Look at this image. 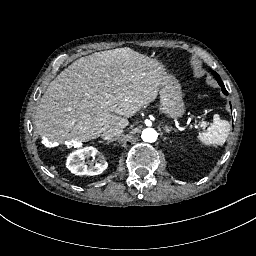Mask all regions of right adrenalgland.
I'll return each mask as SVG.
<instances>
[{
	"label": "right adrenal gland",
	"mask_w": 256,
	"mask_h": 256,
	"mask_svg": "<svg viewBox=\"0 0 256 256\" xmlns=\"http://www.w3.org/2000/svg\"><path fill=\"white\" fill-rule=\"evenodd\" d=\"M112 141H107L106 144H109ZM100 143H104V141H100Z\"/></svg>",
	"instance_id": "obj_1"
}]
</instances>
